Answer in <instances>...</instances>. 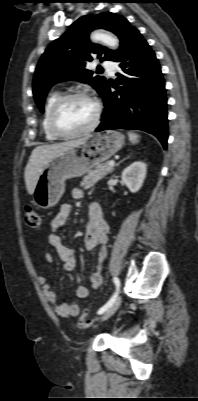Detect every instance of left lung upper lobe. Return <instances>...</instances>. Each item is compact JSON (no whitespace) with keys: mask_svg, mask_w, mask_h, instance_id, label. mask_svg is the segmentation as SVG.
Instances as JSON below:
<instances>
[{"mask_svg":"<svg viewBox=\"0 0 198 401\" xmlns=\"http://www.w3.org/2000/svg\"><path fill=\"white\" fill-rule=\"evenodd\" d=\"M96 28L116 34L120 39V48L112 51L92 44L88 36ZM134 30L126 18L110 12L86 15L74 22L61 38L48 46L39 60L33 80L34 99L39 109L44 110V100L49 88L61 81L78 80L88 83L102 95L106 79L85 69V61L92 60L91 54H96L101 61H115ZM100 70L101 67L98 66L96 73L100 74Z\"/></svg>","mask_w":198,"mask_h":401,"instance_id":"1","label":"left lung upper lobe"}]
</instances>
